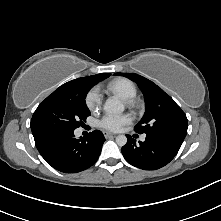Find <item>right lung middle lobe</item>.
I'll return each instance as SVG.
<instances>
[{
	"label": "right lung middle lobe",
	"mask_w": 221,
	"mask_h": 221,
	"mask_svg": "<svg viewBox=\"0 0 221 221\" xmlns=\"http://www.w3.org/2000/svg\"><path fill=\"white\" fill-rule=\"evenodd\" d=\"M82 82L72 94H51L35 110L31 119L33 135L54 129L75 130L90 115L85 98L97 82Z\"/></svg>",
	"instance_id": "obj_1"
}]
</instances>
